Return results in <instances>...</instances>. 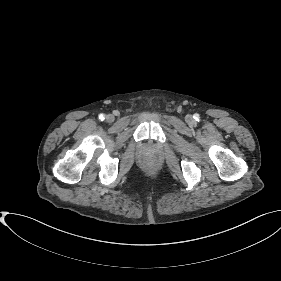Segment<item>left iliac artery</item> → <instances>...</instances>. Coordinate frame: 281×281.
Wrapping results in <instances>:
<instances>
[{"instance_id": "left-iliac-artery-1", "label": "left iliac artery", "mask_w": 281, "mask_h": 281, "mask_svg": "<svg viewBox=\"0 0 281 281\" xmlns=\"http://www.w3.org/2000/svg\"><path fill=\"white\" fill-rule=\"evenodd\" d=\"M194 119L199 120V115L195 114Z\"/></svg>"}]
</instances>
